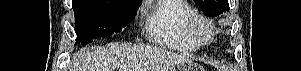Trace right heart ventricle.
<instances>
[{
    "instance_id": "right-heart-ventricle-1",
    "label": "right heart ventricle",
    "mask_w": 301,
    "mask_h": 71,
    "mask_svg": "<svg viewBox=\"0 0 301 71\" xmlns=\"http://www.w3.org/2000/svg\"><path fill=\"white\" fill-rule=\"evenodd\" d=\"M194 13L183 0H160L148 8L145 18L147 37L160 46L194 52L200 45L190 36L187 21Z\"/></svg>"
}]
</instances>
